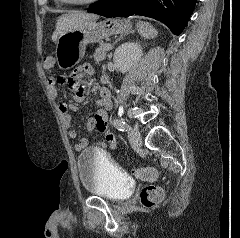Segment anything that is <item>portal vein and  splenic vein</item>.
Masks as SVG:
<instances>
[{"label":"portal vein and splenic vein","instance_id":"1","mask_svg":"<svg viewBox=\"0 0 240 238\" xmlns=\"http://www.w3.org/2000/svg\"><path fill=\"white\" fill-rule=\"evenodd\" d=\"M112 45L110 43H108L105 47V50L106 51H109L111 49Z\"/></svg>","mask_w":240,"mask_h":238}]
</instances>
